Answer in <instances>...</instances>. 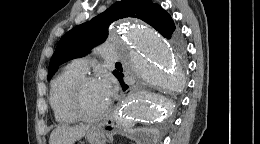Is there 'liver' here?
Here are the masks:
<instances>
[{
    "label": "liver",
    "instance_id": "6515ba94",
    "mask_svg": "<svg viewBox=\"0 0 260 144\" xmlns=\"http://www.w3.org/2000/svg\"><path fill=\"white\" fill-rule=\"evenodd\" d=\"M89 130V126H59L50 135L49 144H74Z\"/></svg>",
    "mask_w": 260,
    "mask_h": 144
}]
</instances>
